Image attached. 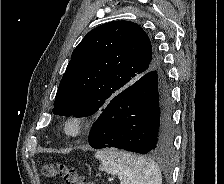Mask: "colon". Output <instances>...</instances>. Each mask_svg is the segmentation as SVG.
<instances>
[{"label":"colon","mask_w":224,"mask_h":184,"mask_svg":"<svg viewBox=\"0 0 224 184\" xmlns=\"http://www.w3.org/2000/svg\"><path fill=\"white\" fill-rule=\"evenodd\" d=\"M42 175L47 179L60 178L65 184H94L82 175L76 167L61 162L44 165Z\"/></svg>","instance_id":"5ec220e1"}]
</instances>
